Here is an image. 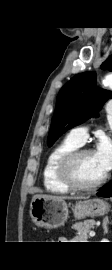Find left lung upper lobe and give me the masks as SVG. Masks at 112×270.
<instances>
[{
	"mask_svg": "<svg viewBox=\"0 0 112 270\" xmlns=\"http://www.w3.org/2000/svg\"><path fill=\"white\" fill-rule=\"evenodd\" d=\"M102 69L112 71V56L102 65ZM112 93L96 87V73L86 72L74 76L60 90L51 129L48 135V146L71 127L81 124L95 114Z\"/></svg>",
	"mask_w": 112,
	"mask_h": 270,
	"instance_id": "1",
	"label": "left lung upper lobe"
}]
</instances>
